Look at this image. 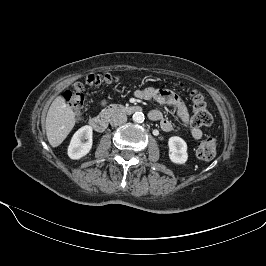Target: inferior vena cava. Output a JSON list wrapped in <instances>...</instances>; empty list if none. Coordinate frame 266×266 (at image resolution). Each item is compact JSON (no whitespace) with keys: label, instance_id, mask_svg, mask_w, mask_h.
I'll return each instance as SVG.
<instances>
[{"label":"inferior vena cava","instance_id":"inferior-vena-cava-1","mask_svg":"<svg viewBox=\"0 0 266 266\" xmlns=\"http://www.w3.org/2000/svg\"><path fill=\"white\" fill-rule=\"evenodd\" d=\"M127 121V116L123 113H117L114 114L111 118H110V124L112 126H118L121 125L123 123H125Z\"/></svg>","mask_w":266,"mask_h":266}]
</instances>
